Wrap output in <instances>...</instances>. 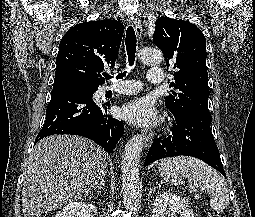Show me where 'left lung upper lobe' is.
<instances>
[{
    "instance_id": "1",
    "label": "left lung upper lobe",
    "mask_w": 255,
    "mask_h": 217,
    "mask_svg": "<svg viewBox=\"0 0 255 217\" xmlns=\"http://www.w3.org/2000/svg\"><path fill=\"white\" fill-rule=\"evenodd\" d=\"M153 42L162 50L167 68L176 70L171 85L179 91L165 98L171 113L180 117L193 109L209 112L206 39L202 31L188 21L160 17Z\"/></svg>"
}]
</instances>
